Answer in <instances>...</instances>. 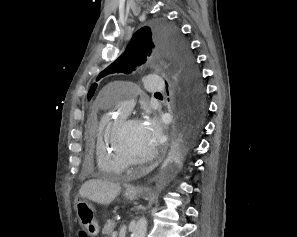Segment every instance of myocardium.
<instances>
[{
	"label": "myocardium",
	"mask_w": 297,
	"mask_h": 237,
	"mask_svg": "<svg viewBox=\"0 0 297 237\" xmlns=\"http://www.w3.org/2000/svg\"><path fill=\"white\" fill-rule=\"evenodd\" d=\"M137 122L134 117H123L116 125L113 134V146L116 152L120 155L127 166L145 165L152 162L158 155V152L154 150L152 153L145 157L134 156L127 148L123 141V133L125 129L132 123Z\"/></svg>",
	"instance_id": "1"
}]
</instances>
